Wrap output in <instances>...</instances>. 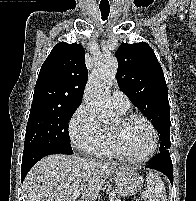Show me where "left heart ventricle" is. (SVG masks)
Masks as SVG:
<instances>
[{
    "mask_svg": "<svg viewBox=\"0 0 196 201\" xmlns=\"http://www.w3.org/2000/svg\"><path fill=\"white\" fill-rule=\"evenodd\" d=\"M120 127L117 120L111 129ZM122 141L127 152L139 158L146 155L152 147V133L150 128L141 121H135L121 128Z\"/></svg>",
    "mask_w": 196,
    "mask_h": 201,
    "instance_id": "left-heart-ventricle-1",
    "label": "left heart ventricle"
}]
</instances>
